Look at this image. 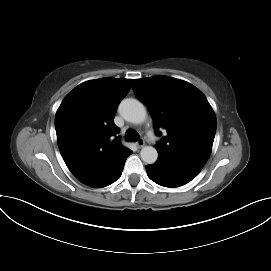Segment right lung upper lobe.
<instances>
[{"mask_svg":"<svg viewBox=\"0 0 271 271\" xmlns=\"http://www.w3.org/2000/svg\"><path fill=\"white\" fill-rule=\"evenodd\" d=\"M130 79L101 78L74 88L55 116L57 142L72 174L86 185L105 178L131 150L120 143L114 116Z\"/></svg>","mask_w":271,"mask_h":271,"instance_id":"cb5924a9","label":"right lung upper lobe"}]
</instances>
